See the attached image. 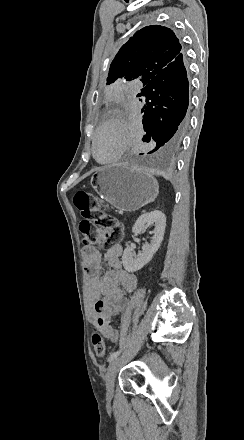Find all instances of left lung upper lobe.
<instances>
[{"mask_svg": "<svg viewBox=\"0 0 244 440\" xmlns=\"http://www.w3.org/2000/svg\"><path fill=\"white\" fill-rule=\"evenodd\" d=\"M181 51L179 39L171 29L146 26L137 31L115 56L107 85L139 79L145 86L160 71L179 63Z\"/></svg>", "mask_w": 244, "mask_h": 440, "instance_id": "1", "label": "left lung upper lobe"}]
</instances>
